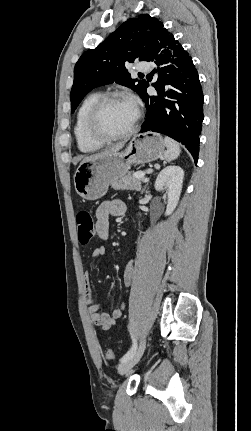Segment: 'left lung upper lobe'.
Wrapping results in <instances>:
<instances>
[{"mask_svg":"<svg viewBox=\"0 0 251 431\" xmlns=\"http://www.w3.org/2000/svg\"><path fill=\"white\" fill-rule=\"evenodd\" d=\"M170 33L162 22L148 14L128 19L95 49L82 54L74 68L71 112L95 87L116 82L141 96L147 82L131 79L126 63L149 61L153 48Z\"/></svg>","mask_w":251,"mask_h":431,"instance_id":"obj_1","label":"left lung upper lobe"}]
</instances>
